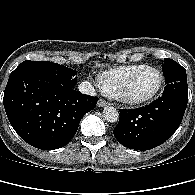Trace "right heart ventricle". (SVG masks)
<instances>
[{"instance_id":"right-heart-ventricle-1","label":"right heart ventricle","mask_w":195,"mask_h":195,"mask_svg":"<svg viewBox=\"0 0 195 195\" xmlns=\"http://www.w3.org/2000/svg\"><path fill=\"white\" fill-rule=\"evenodd\" d=\"M143 66L145 65H124L105 71L99 79L103 91L112 97L118 96L127 79Z\"/></svg>"}]
</instances>
